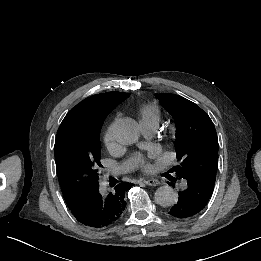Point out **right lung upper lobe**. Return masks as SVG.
<instances>
[{"mask_svg": "<svg viewBox=\"0 0 261 261\" xmlns=\"http://www.w3.org/2000/svg\"><path fill=\"white\" fill-rule=\"evenodd\" d=\"M129 95L116 91L93 95L72 108L66 117L79 116L96 123H103L106 116Z\"/></svg>", "mask_w": 261, "mask_h": 261, "instance_id": "1", "label": "right lung upper lobe"}]
</instances>
